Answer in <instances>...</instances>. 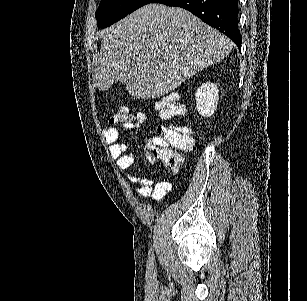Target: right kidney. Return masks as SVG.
I'll return each mask as SVG.
<instances>
[{"instance_id": "right-kidney-1", "label": "right kidney", "mask_w": 307, "mask_h": 301, "mask_svg": "<svg viewBox=\"0 0 307 301\" xmlns=\"http://www.w3.org/2000/svg\"><path fill=\"white\" fill-rule=\"evenodd\" d=\"M196 108L204 118L214 114L219 102V88L216 82H202L195 92Z\"/></svg>"}]
</instances>
